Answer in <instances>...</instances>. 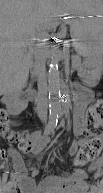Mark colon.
I'll return each mask as SVG.
<instances>
[{"label":"colon","mask_w":103,"mask_h":193,"mask_svg":"<svg viewBox=\"0 0 103 193\" xmlns=\"http://www.w3.org/2000/svg\"><path fill=\"white\" fill-rule=\"evenodd\" d=\"M98 115H94L93 116V121L97 122L98 121ZM87 149L88 151L84 152L83 154L88 155V154H94L99 152L100 148H101V139L99 136H94L88 143H87ZM75 164L76 165H82L83 164V156H78L75 159Z\"/></svg>","instance_id":"1"}]
</instances>
